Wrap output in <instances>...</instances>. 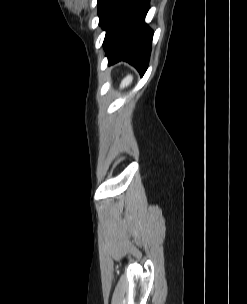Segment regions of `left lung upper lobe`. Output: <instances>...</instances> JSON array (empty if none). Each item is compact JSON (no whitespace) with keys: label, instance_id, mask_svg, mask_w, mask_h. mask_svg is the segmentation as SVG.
<instances>
[{"label":"left lung upper lobe","instance_id":"left-lung-upper-lobe-1","mask_svg":"<svg viewBox=\"0 0 247 304\" xmlns=\"http://www.w3.org/2000/svg\"><path fill=\"white\" fill-rule=\"evenodd\" d=\"M99 2H100V0H98V3H97V5L99 4Z\"/></svg>","mask_w":247,"mask_h":304}]
</instances>
